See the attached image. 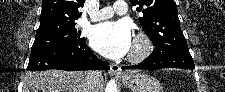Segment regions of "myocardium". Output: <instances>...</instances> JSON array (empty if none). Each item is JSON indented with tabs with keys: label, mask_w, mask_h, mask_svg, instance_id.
I'll return each mask as SVG.
<instances>
[{
	"label": "myocardium",
	"mask_w": 225,
	"mask_h": 92,
	"mask_svg": "<svg viewBox=\"0 0 225 92\" xmlns=\"http://www.w3.org/2000/svg\"><path fill=\"white\" fill-rule=\"evenodd\" d=\"M151 50L152 47L148 37L144 34H139L135 37L128 60L131 63H139L149 56Z\"/></svg>",
	"instance_id": "obj_1"
}]
</instances>
